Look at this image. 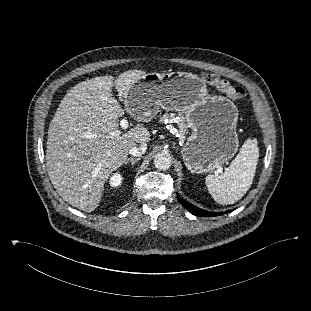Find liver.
Returning a JSON list of instances; mask_svg holds the SVG:
<instances>
[{
	"label": "liver",
	"instance_id": "obj_1",
	"mask_svg": "<svg viewBox=\"0 0 311 311\" xmlns=\"http://www.w3.org/2000/svg\"><path fill=\"white\" fill-rule=\"evenodd\" d=\"M144 75L145 71L129 70L114 83L111 75L82 81L59 104L48 129L46 167L54 188L72 206L95 210L105 182L127 160L130 148L150 141L141 123L127 132L118 130L124 111L112 95L114 84L129 112L127 93Z\"/></svg>",
	"mask_w": 311,
	"mask_h": 311
}]
</instances>
